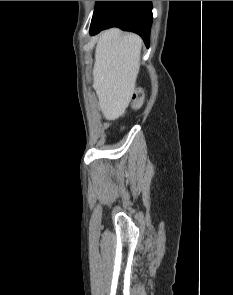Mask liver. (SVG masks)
I'll use <instances>...</instances> for the list:
<instances>
[{
  "instance_id": "liver-1",
  "label": "liver",
  "mask_w": 233,
  "mask_h": 295,
  "mask_svg": "<svg viewBox=\"0 0 233 295\" xmlns=\"http://www.w3.org/2000/svg\"><path fill=\"white\" fill-rule=\"evenodd\" d=\"M141 38L118 28L104 31L95 49L93 88L107 120L123 114L135 91L140 69Z\"/></svg>"
}]
</instances>
